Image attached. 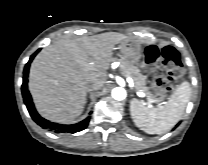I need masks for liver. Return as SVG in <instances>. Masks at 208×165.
<instances>
[{"label": "liver", "instance_id": "6515ba94", "mask_svg": "<svg viewBox=\"0 0 208 165\" xmlns=\"http://www.w3.org/2000/svg\"><path fill=\"white\" fill-rule=\"evenodd\" d=\"M129 38L107 32L91 37L58 40L35 57L29 73V90L38 112L45 118L68 123L86 103L90 85L106 84L113 47Z\"/></svg>", "mask_w": 208, "mask_h": 165}]
</instances>
